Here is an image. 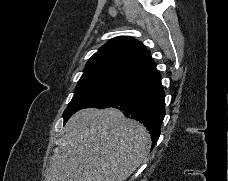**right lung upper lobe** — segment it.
I'll list each match as a JSON object with an SVG mask.
<instances>
[{"label":"right lung upper lobe","instance_id":"right-lung-upper-lobe-1","mask_svg":"<svg viewBox=\"0 0 228 181\" xmlns=\"http://www.w3.org/2000/svg\"><path fill=\"white\" fill-rule=\"evenodd\" d=\"M155 66L150 52L141 42L120 36L111 39L90 58L82 77L111 76L132 80Z\"/></svg>","mask_w":228,"mask_h":181}]
</instances>
